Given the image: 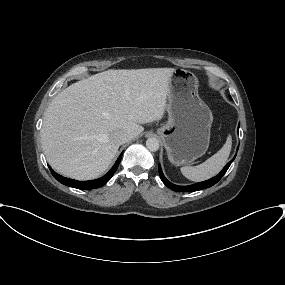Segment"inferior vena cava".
Instances as JSON below:
<instances>
[{"mask_svg": "<svg viewBox=\"0 0 285 285\" xmlns=\"http://www.w3.org/2000/svg\"><path fill=\"white\" fill-rule=\"evenodd\" d=\"M128 134L123 131H116L112 134V139L117 144L121 145L128 141Z\"/></svg>", "mask_w": 285, "mask_h": 285, "instance_id": "obj_1", "label": "inferior vena cava"}]
</instances>
